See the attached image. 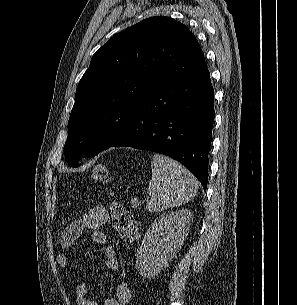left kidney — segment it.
Segmentation results:
<instances>
[{"label": "left kidney", "mask_w": 297, "mask_h": 305, "mask_svg": "<svg viewBox=\"0 0 297 305\" xmlns=\"http://www.w3.org/2000/svg\"><path fill=\"white\" fill-rule=\"evenodd\" d=\"M192 213L183 209L154 220L136 254V267L143 278L160 273L174 258L185 240Z\"/></svg>", "instance_id": "obj_1"}]
</instances>
